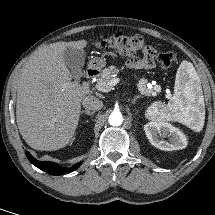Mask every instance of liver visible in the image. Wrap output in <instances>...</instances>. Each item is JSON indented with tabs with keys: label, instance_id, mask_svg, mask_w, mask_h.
Here are the masks:
<instances>
[{
	"label": "liver",
	"instance_id": "liver-1",
	"mask_svg": "<svg viewBox=\"0 0 215 215\" xmlns=\"http://www.w3.org/2000/svg\"><path fill=\"white\" fill-rule=\"evenodd\" d=\"M86 40L56 42L35 51L17 76L16 120L26 143L36 150L67 146L78 126L88 87L72 82L66 47L83 49Z\"/></svg>",
	"mask_w": 215,
	"mask_h": 215
}]
</instances>
